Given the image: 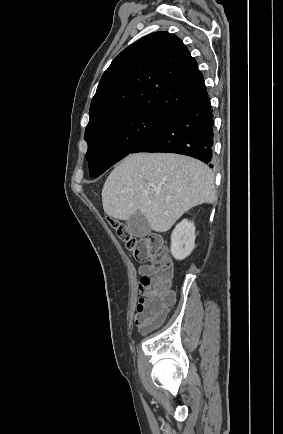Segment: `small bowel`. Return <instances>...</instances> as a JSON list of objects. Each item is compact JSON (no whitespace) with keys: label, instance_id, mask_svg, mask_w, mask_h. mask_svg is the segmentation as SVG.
<instances>
[{"label":"small bowel","instance_id":"small-bowel-1","mask_svg":"<svg viewBox=\"0 0 283 434\" xmlns=\"http://www.w3.org/2000/svg\"><path fill=\"white\" fill-rule=\"evenodd\" d=\"M153 266L151 265H143L138 268V272L141 276L149 275L153 271Z\"/></svg>","mask_w":283,"mask_h":434}]
</instances>
